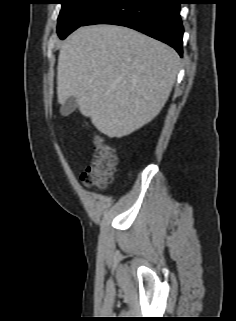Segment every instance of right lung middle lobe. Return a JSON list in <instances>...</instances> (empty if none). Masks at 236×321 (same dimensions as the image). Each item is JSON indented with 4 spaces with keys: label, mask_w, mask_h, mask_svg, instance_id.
I'll return each instance as SVG.
<instances>
[{
    "label": "right lung middle lobe",
    "mask_w": 236,
    "mask_h": 321,
    "mask_svg": "<svg viewBox=\"0 0 236 321\" xmlns=\"http://www.w3.org/2000/svg\"><path fill=\"white\" fill-rule=\"evenodd\" d=\"M57 33L61 39L80 27L109 0H60Z\"/></svg>",
    "instance_id": "dd1d6c3e"
}]
</instances>
